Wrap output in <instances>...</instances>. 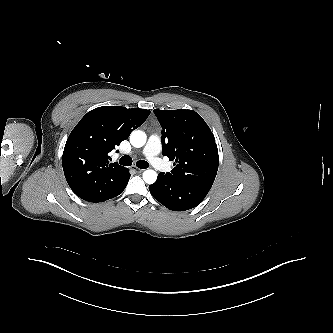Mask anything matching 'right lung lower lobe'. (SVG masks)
I'll return each mask as SVG.
<instances>
[{"instance_id":"right-lung-lower-lobe-1","label":"right lung lower lobe","mask_w":333,"mask_h":333,"mask_svg":"<svg viewBox=\"0 0 333 333\" xmlns=\"http://www.w3.org/2000/svg\"><path fill=\"white\" fill-rule=\"evenodd\" d=\"M130 173L129 171L126 173V177H125V181L124 183L121 185V187L119 189H117L115 192L111 193L110 195L106 196L105 198H103L102 200H100L99 202H103V201H106L108 199H111L113 197H116L118 196L119 194H121L123 192V190L126 188L127 186V183L129 181V178H130Z\"/></svg>"}]
</instances>
